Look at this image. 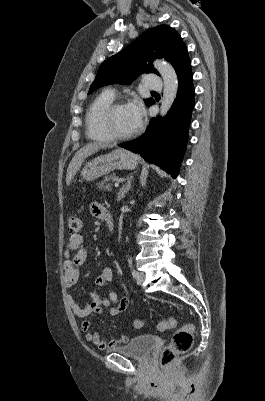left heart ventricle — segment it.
I'll use <instances>...</instances> for the list:
<instances>
[{
  "instance_id": "left-heart-ventricle-1",
  "label": "left heart ventricle",
  "mask_w": 265,
  "mask_h": 401,
  "mask_svg": "<svg viewBox=\"0 0 265 401\" xmlns=\"http://www.w3.org/2000/svg\"><path fill=\"white\" fill-rule=\"evenodd\" d=\"M110 124L113 132L118 135L129 134L135 129L127 112L126 106L116 109L111 117Z\"/></svg>"
}]
</instances>
